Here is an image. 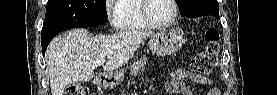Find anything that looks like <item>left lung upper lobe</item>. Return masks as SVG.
<instances>
[{"label": "left lung upper lobe", "instance_id": "left-lung-upper-lobe-1", "mask_svg": "<svg viewBox=\"0 0 277 95\" xmlns=\"http://www.w3.org/2000/svg\"><path fill=\"white\" fill-rule=\"evenodd\" d=\"M181 16L199 17L212 15L219 18V4L217 0H176Z\"/></svg>", "mask_w": 277, "mask_h": 95}]
</instances>
